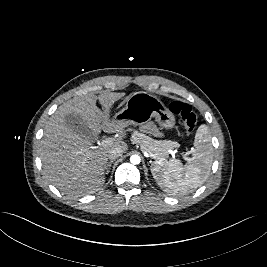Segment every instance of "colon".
<instances>
[{
  "label": "colon",
  "instance_id": "colon-1",
  "mask_svg": "<svg viewBox=\"0 0 267 267\" xmlns=\"http://www.w3.org/2000/svg\"><path fill=\"white\" fill-rule=\"evenodd\" d=\"M170 110L176 114L184 125L188 134H191L198 122V114L191 106L180 101H174L170 104Z\"/></svg>",
  "mask_w": 267,
  "mask_h": 267
}]
</instances>
